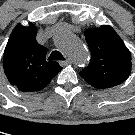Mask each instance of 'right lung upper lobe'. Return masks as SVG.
<instances>
[{"label":"right lung upper lobe","instance_id":"1","mask_svg":"<svg viewBox=\"0 0 135 135\" xmlns=\"http://www.w3.org/2000/svg\"><path fill=\"white\" fill-rule=\"evenodd\" d=\"M37 28L17 24L5 48L3 67L11 85L22 92L45 88L62 67L57 62H47L46 49L36 42Z\"/></svg>","mask_w":135,"mask_h":135}]
</instances>
